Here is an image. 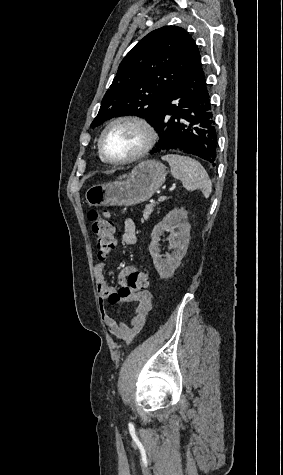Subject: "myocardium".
<instances>
[{
  "mask_svg": "<svg viewBox=\"0 0 283 475\" xmlns=\"http://www.w3.org/2000/svg\"><path fill=\"white\" fill-rule=\"evenodd\" d=\"M124 122L134 123L141 126L145 130V133H146L145 142L135 153L131 155L121 157V158H110L104 152L103 139L111 128H113L117 124L124 123ZM155 140H156V130L149 120L138 115H123L110 121L100 133L98 144H97L98 153L105 162L134 163L144 158L150 152V150L152 149L155 143Z\"/></svg>",
  "mask_w": 283,
  "mask_h": 475,
  "instance_id": "f54148a6",
  "label": "myocardium"
}]
</instances>
